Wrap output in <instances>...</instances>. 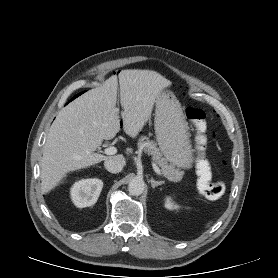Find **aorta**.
<instances>
[{"label":"aorta","mask_w":278,"mask_h":278,"mask_svg":"<svg viewBox=\"0 0 278 278\" xmlns=\"http://www.w3.org/2000/svg\"><path fill=\"white\" fill-rule=\"evenodd\" d=\"M145 188L144 181L142 179L134 178L128 184V191L131 195L139 196L143 193Z\"/></svg>","instance_id":"1"}]
</instances>
